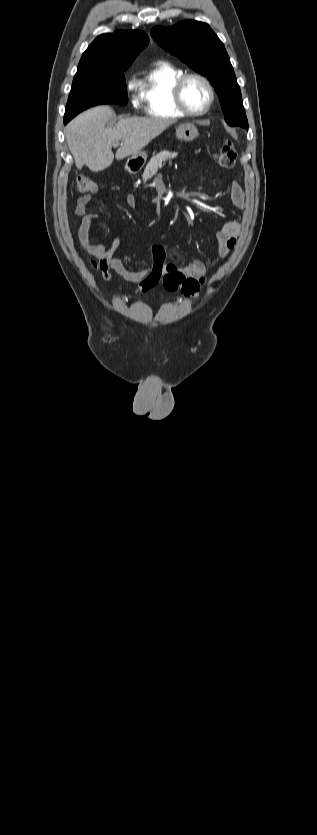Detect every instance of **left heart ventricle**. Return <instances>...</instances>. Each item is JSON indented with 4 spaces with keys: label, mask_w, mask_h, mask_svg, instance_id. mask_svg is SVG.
<instances>
[{
    "label": "left heart ventricle",
    "mask_w": 317,
    "mask_h": 835,
    "mask_svg": "<svg viewBox=\"0 0 317 835\" xmlns=\"http://www.w3.org/2000/svg\"><path fill=\"white\" fill-rule=\"evenodd\" d=\"M210 98L207 86L199 79H190L184 89V101L193 111L205 108Z\"/></svg>",
    "instance_id": "b2bd125f"
}]
</instances>
